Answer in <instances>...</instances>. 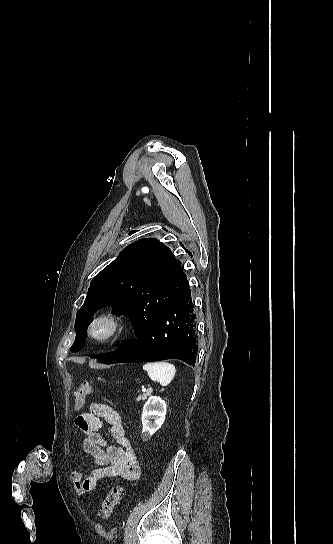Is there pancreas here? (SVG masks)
<instances>
[{
    "label": "pancreas",
    "mask_w": 333,
    "mask_h": 544,
    "mask_svg": "<svg viewBox=\"0 0 333 544\" xmlns=\"http://www.w3.org/2000/svg\"><path fill=\"white\" fill-rule=\"evenodd\" d=\"M151 393H152L151 391H147L146 393L137 396L136 401L139 402L141 400H145L148 396L151 395Z\"/></svg>",
    "instance_id": "obj_1"
}]
</instances>
